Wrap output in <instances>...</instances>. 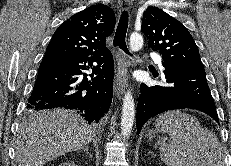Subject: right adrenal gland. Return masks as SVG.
Returning <instances> with one entry per match:
<instances>
[{
    "instance_id": "right-adrenal-gland-1",
    "label": "right adrenal gland",
    "mask_w": 231,
    "mask_h": 166,
    "mask_svg": "<svg viewBox=\"0 0 231 166\" xmlns=\"http://www.w3.org/2000/svg\"><path fill=\"white\" fill-rule=\"evenodd\" d=\"M82 150L85 151L86 154H88L90 157H92V155L89 153V147L88 146H85Z\"/></svg>"
}]
</instances>
